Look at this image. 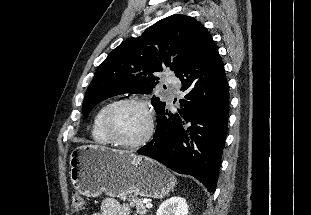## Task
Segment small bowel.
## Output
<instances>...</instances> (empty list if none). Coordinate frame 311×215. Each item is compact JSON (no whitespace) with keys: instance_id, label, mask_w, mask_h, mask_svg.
I'll return each instance as SVG.
<instances>
[{"instance_id":"small-bowel-1","label":"small bowel","mask_w":311,"mask_h":215,"mask_svg":"<svg viewBox=\"0 0 311 215\" xmlns=\"http://www.w3.org/2000/svg\"><path fill=\"white\" fill-rule=\"evenodd\" d=\"M91 215H130V207L119 203L113 198H106L101 204V209Z\"/></svg>"}]
</instances>
